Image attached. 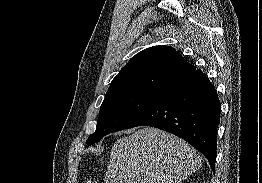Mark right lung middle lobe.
I'll use <instances>...</instances> for the list:
<instances>
[{"mask_svg": "<svg viewBox=\"0 0 262 183\" xmlns=\"http://www.w3.org/2000/svg\"><path fill=\"white\" fill-rule=\"evenodd\" d=\"M156 90H130L107 94L100 107L96 131L87 145L98 142L105 135L123 130L154 98Z\"/></svg>", "mask_w": 262, "mask_h": 183, "instance_id": "obj_1", "label": "right lung middle lobe"}]
</instances>
